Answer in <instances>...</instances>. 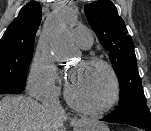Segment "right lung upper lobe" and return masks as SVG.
<instances>
[{
	"label": "right lung upper lobe",
	"instance_id": "right-lung-upper-lobe-1",
	"mask_svg": "<svg viewBox=\"0 0 151 131\" xmlns=\"http://www.w3.org/2000/svg\"><path fill=\"white\" fill-rule=\"evenodd\" d=\"M42 18L41 6L36 1L27 3L8 26L0 43L34 45L35 35Z\"/></svg>",
	"mask_w": 151,
	"mask_h": 131
}]
</instances>
